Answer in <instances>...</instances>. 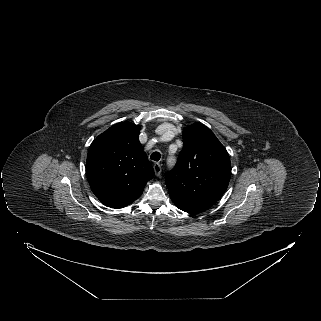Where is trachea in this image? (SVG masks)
Instances as JSON below:
<instances>
[{
  "label": "trachea",
  "instance_id": "obj_1",
  "mask_svg": "<svg viewBox=\"0 0 321 321\" xmlns=\"http://www.w3.org/2000/svg\"><path fill=\"white\" fill-rule=\"evenodd\" d=\"M161 158V154L159 152H153L150 156V159L153 161H159Z\"/></svg>",
  "mask_w": 321,
  "mask_h": 321
}]
</instances>
